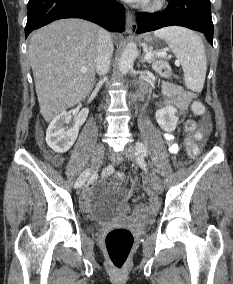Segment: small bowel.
<instances>
[{"label":"small bowel","mask_w":233,"mask_h":284,"mask_svg":"<svg viewBox=\"0 0 233 284\" xmlns=\"http://www.w3.org/2000/svg\"><path fill=\"white\" fill-rule=\"evenodd\" d=\"M163 91L167 97V103L175 106L180 111H185L190 101L193 98V94L185 91L182 87L172 84V83H163ZM191 123L195 126L194 136L197 138H203L209 131L210 128V118L207 115L202 116L199 126L197 128V123L194 121H187L186 124ZM164 138L168 144L169 151L172 154H176L179 151V146L175 141V137L171 133H165ZM55 164H60V159L53 160Z\"/></svg>","instance_id":"1"}]
</instances>
